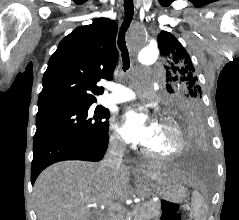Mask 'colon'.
Returning a JSON list of instances; mask_svg holds the SVG:
<instances>
[{
    "label": "colon",
    "mask_w": 239,
    "mask_h": 220,
    "mask_svg": "<svg viewBox=\"0 0 239 220\" xmlns=\"http://www.w3.org/2000/svg\"><path fill=\"white\" fill-rule=\"evenodd\" d=\"M162 217L161 220H180L178 205L168 200L161 201Z\"/></svg>",
    "instance_id": "5ec220e1"
}]
</instances>
